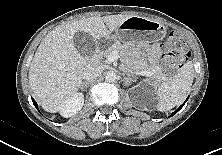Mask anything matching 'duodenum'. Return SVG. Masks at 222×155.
I'll return each instance as SVG.
<instances>
[{
    "mask_svg": "<svg viewBox=\"0 0 222 155\" xmlns=\"http://www.w3.org/2000/svg\"><path fill=\"white\" fill-rule=\"evenodd\" d=\"M99 56H100V45L98 44L96 46L95 53L92 57V63H97L99 61Z\"/></svg>",
    "mask_w": 222,
    "mask_h": 155,
    "instance_id": "duodenum-1",
    "label": "duodenum"
}]
</instances>
